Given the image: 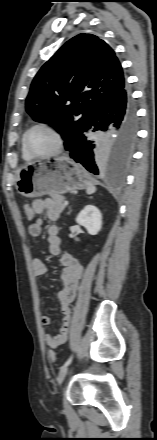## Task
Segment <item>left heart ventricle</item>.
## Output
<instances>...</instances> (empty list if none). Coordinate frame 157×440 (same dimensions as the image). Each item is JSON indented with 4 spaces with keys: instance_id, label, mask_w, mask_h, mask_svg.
Returning <instances> with one entry per match:
<instances>
[{
    "instance_id": "1",
    "label": "left heart ventricle",
    "mask_w": 157,
    "mask_h": 440,
    "mask_svg": "<svg viewBox=\"0 0 157 440\" xmlns=\"http://www.w3.org/2000/svg\"><path fill=\"white\" fill-rule=\"evenodd\" d=\"M28 146L35 154H47L56 146L54 135L44 128H36L28 136Z\"/></svg>"
}]
</instances>
